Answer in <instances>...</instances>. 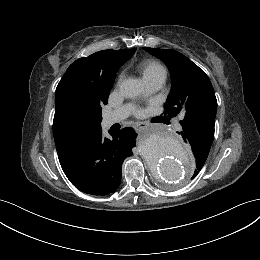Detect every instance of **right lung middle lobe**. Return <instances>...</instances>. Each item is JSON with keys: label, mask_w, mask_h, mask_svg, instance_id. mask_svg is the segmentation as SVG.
<instances>
[{"label": "right lung middle lobe", "mask_w": 260, "mask_h": 260, "mask_svg": "<svg viewBox=\"0 0 260 260\" xmlns=\"http://www.w3.org/2000/svg\"><path fill=\"white\" fill-rule=\"evenodd\" d=\"M115 74L107 82L66 83L56 90L55 104L64 124L75 134L100 127Z\"/></svg>", "instance_id": "right-lung-middle-lobe-1"}]
</instances>
